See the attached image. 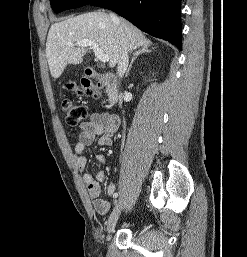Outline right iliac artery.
Segmentation results:
<instances>
[{
    "mask_svg": "<svg viewBox=\"0 0 247 257\" xmlns=\"http://www.w3.org/2000/svg\"><path fill=\"white\" fill-rule=\"evenodd\" d=\"M114 197H115V198H117V197H118V194H117V193H115Z\"/></svg>",
    "mask_w": 247,
    "mask_h": 257,
    "instance_id": "82829eb1",
    "label": "right iliac artery"
}]
</instances>
